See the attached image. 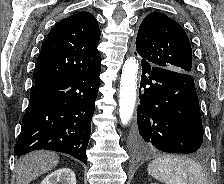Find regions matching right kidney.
Returning a JSON list of instances; mask_svg holds the SVG:
<instances>
[{"mask_svg":"<svg viewBox=\"0 0 224 184\" xmlns=\"http://www.w3.org/2000/svg\"><path fill=\"white\" fill-rule=\"evenodd\" d=\"M40 184H76L75 173L69 168H61L47 175Z\"/></svg>","mask_w":224,"mask_h":184,"instance_id":"ca27d5eb","label":"right kidney"}]
</instances>
